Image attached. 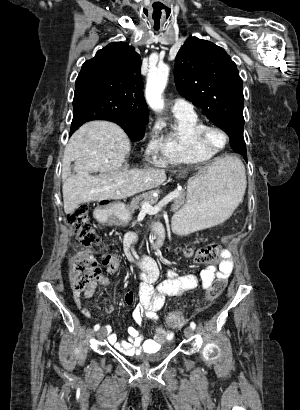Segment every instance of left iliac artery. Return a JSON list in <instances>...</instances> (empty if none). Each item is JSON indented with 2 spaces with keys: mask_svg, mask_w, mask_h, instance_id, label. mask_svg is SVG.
<instances>
[{
  "mask_svg": "<svg viewBox=\"0 0 300 410\" xmlns=\"http://www.w3.org/2000/svg\"><path fill=\"white\" fill-rule=\"evenodd\" d=\"M190 327H191L192 329H195V328H196V324H195L194 322H191V323H190Z\"/></svg>",
  "mask_w": 300,
  "mask_h": 410,
  "instance_id": "left-iliac-artery-1",
  "label": "left iliac artery"
}]
</instances>
